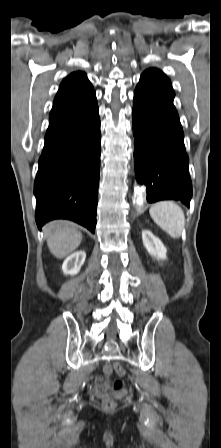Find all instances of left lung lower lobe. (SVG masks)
I'll use <instances>...</instances> for the list:
<instances>
[{"mask_svg":"<svg viewBox=\"0 0 221 448\" xmlns=\"http://www.w3.org/2000/svg\"><path fill=\"white\" fill-rule=\"evenodd\" d=\"M135 174L147 186V201L192 197L184 133L173 100L136 87L133 101Z\"/></svg>","mask_w":221,"mask_h":448,"instance_id":"obj_1","label":"left lung lower lobe"}]
</instances>
